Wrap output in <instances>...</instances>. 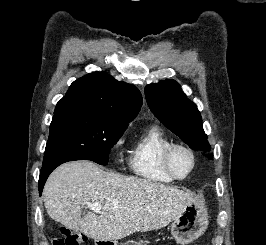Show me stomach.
Wrapping results in <instances>:
<instances>
[{
    "label": "stomach",
    "mask_w": 266,
    "mask_h": 245,
    "mask_svg": "<svg viewBox=\"0 0 266 245\" xmlns=\"http://www.w3.org/2000/svg\"><path fill=\"white\" fill-rule=\"evenodd\" d=\"M208 227L207 209L200 207L198 203H190L185 207V211L173 219L171 225V235H173L178 245H187L190 241L198 239L205 233ZM143 241L135 243L142 245ZM107 245H118L117 241H110Z\"/></svg>",
    "instance_id": "1"
}]
</instances>
